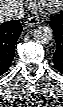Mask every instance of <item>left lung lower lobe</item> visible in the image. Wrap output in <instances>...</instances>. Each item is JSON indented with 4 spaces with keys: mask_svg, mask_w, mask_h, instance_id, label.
I'll list each match as a JSON object with an SVG mask.
<instances>
[{
    "mask_svg": "<svg viewBox=\"0 0 63 107\" xmlns=\"http://www.w3.org/2000/svg\"><path fill=\"white\" fill-rule=\"evenodd\" d=\"M50 26L56 39V51L53 56V62L55 67L63 74V12L51 17Z\"/></svg>",
    "mask_w": 63,
    "mask_h": 107,
    "instance_id": "left-lung-lower-lobe-1",
    "label": "left lung lower lobe"
}]
</instances>
